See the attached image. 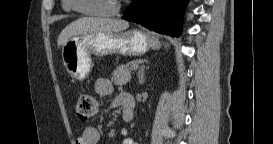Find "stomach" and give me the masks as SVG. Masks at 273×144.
Segmentation results:
<instances>
[{"mask_svg":"<svg viewBox=\"0 0 273 144\" xmlns=\"http://www.w3.org/2000/svg\"><path fill=\"white\" fill-rule=\"evenodd\" d=\"M159 48L160 43L156 37L139 30L120 33L87 32L68 39L62 47V59L70 76L82 81L91 71V55L119 53L138 56L150 49Z\"/></svg>","mask_w":273,"mask_h":144,"instance_id":"stomach-1","label":"stomach"}]
</instances>
